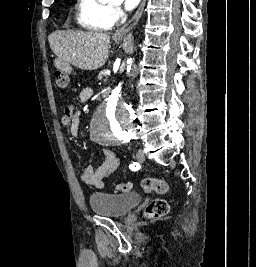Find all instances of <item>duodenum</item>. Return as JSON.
I'll list each match as a JSON object with an SVG mask.
<instances>
[{"label":"duodenum","instance_id":"duodenum-1","mask_svg":"<svg viewBox=\"0 0 256 267\" xmlns=\"http://www.w3.org/2000/svg\"><path fill=\"white\" fill-rule=\"evenodd\" d=\"M59 72L60 73H71L72 72V69L71 68H63V67H60ZM99 89H100V93H101L99 95V98L100 99H108V98H111V95H108V94H111L112 93V90L111 89H108V86L107 85H100L99 86Z\"/></svg>","mask_w":256,"mask_h":267}]
</instances>
